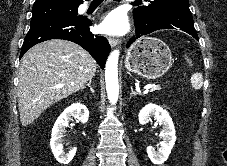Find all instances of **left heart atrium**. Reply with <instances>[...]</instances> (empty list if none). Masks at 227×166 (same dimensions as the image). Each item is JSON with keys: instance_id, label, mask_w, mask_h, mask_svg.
Listing matches in <instances>:
<instances>
[{"instance_id": "1", "label": "left heart atrium", "mask_w": 227, "mask_h": 166, "mask_svg": "<svg viewBox=\"0 0 227 166\" xmlns=\"http://www.w3.org/2000/svg\"><path fill=\"white\" fill-rule=\"evenodd\" d=\"M129 27L126 15L120 11L109 13L100 24V31L109 35H120L127 31Z\"/></svg>"}]
</instances>
